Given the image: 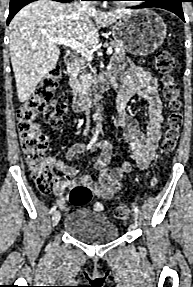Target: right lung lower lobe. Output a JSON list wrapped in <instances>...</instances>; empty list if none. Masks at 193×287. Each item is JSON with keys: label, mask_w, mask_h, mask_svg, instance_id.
Returning <instances> with one entry per match:
<instances>
[{"label": "right lung lower lobe", "mask_w": 193, "mask_h": 287, "mask_svg": "<svg viewBox=\"0 0 193 287\" xmlns=\"http://www.w3.org/2000/svg\"><path fill=\"white\" fill-rule=\"evenodd\" d=\"M36 1V0H10L9 16L7 19V24L11 21L14 15L25 5ZM62 3L71 2L72 0H55Z\"/></svg>", "instance_id": "98d812e1"}]
</instances>
